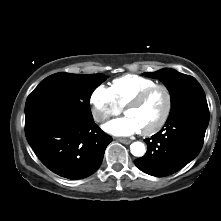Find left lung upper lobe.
<instances>
[{
    "label": "left lung upper lobe",
    "instance_id": "obj_1",
    "mask_svg": "<svg viewBox=\"0 0 221 221\" xmlns=\"http://www.w3.org/2000/svg\"><path fill=\"white\" fill-rule=\"evenodd\" d=\"M146 75L150 78L160 79L168 88L171 95L170 113L186 103L206 98L201 85L192 76L167 68L152 73H146Z\"/></svg>",
    "mask_w": 221,
    "mask_h": 221
}]
</instances>
